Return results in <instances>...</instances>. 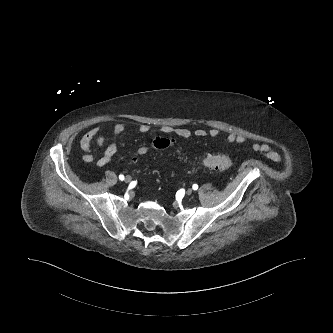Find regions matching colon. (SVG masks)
Returning a JSON list of instances; mask_svg holds the SVG:
<instances>
[{
	"label": "colon",
	"instance_id": "obj_1",
	"mask_svg": "<svg viewBox=\"0 0 333 333\" xmlns=\"http://www.w3.org/2000/svg\"><path fill=\"white\" fill-rule=\"evenodd\" d=\"M172 143V140L169 138L164 137H157L153 140L151 144L148 145H141L134 153V157H140L148 152H150L153 149H165L169 147ZM97 144L99 146L102 145V140L99 138L97 139ZM233 165V160L230 156L226 154H211L207 155L202 160V166L209 169H215V170H227L231 168Z\"/></svg>",
	"mask_w": 333,
	"mask_h": 333
}]
</instances>
